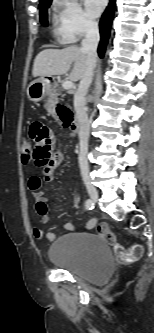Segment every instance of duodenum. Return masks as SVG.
<instances>
[{"label":"duodenum","instance_id":"1","mask_svg":"<svg viewBox=\"0 0 154 333\" xmlns=\"http://www.w3.org/2000/svg\"><path fill=\"white\" fill-rule=\"evenodd\" d=\"M70 129L73 134L79 133L80 128H79V124H78L77 120L72 119V124H71Z\"/></svg>","mask_w":154,"mask_h":333}]
</instances>
